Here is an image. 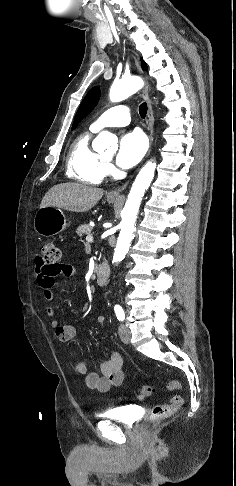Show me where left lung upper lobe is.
Returning a JSON list of instances; mask_svg holds the SVG:
<instances>
[{
    "instance_id": "obj_1",
    "label": "left lung upper lobe",
    "mask_w": 236,
    "mask_h": 486,
    "mask_svg": "<svg viewBox=\"0 0 236 486\" xmlns=\"http://www.w3.org/2000/svg\"><path fill=\"white\" fill-rule=\"evenodd\" d=\"M141 61H142V68L144 70H147V66H146L145 62L143 61V59H141ZM99 98H100V89L98 87H93L87 93L84 100L82 101V103H81V105H80V107L77 111L72 129H74L79 124V122L82 119H84L94 109V107L97 105V103L99 101Z\"/></svg>"
}]
</instances>
